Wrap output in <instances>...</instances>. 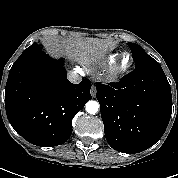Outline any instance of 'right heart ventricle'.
<instances>
[{"label": "right heart ventricle", "instance_id": "e07e8e85", "mask_svg": "<svg viewBox=\"0 0 178 178\" xmlns=\"http://www.w3.org/2000/svg\"><path fill=\"white\" fill-rule=\"evenodd\" d=\"M118 57H119V54H111V55H109V56L106 57L105 62L107 64L111 65V64H113L117 60Z\"/></svg>", "mask_w": 178, "mask_h": 178}]
</instances>
